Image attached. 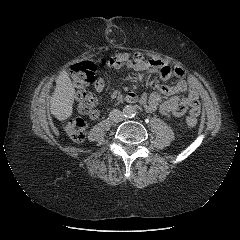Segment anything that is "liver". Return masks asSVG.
I'll use <instances>...</instances> for the list:
<instances>
[{
    "instance_id": "obj_1",
    "label": "liver",
    "mask_w": 240,
    "mask_h": 240,
    "mask_svg": "<svg viewBox=\"0 0 240 240\" xmlns=\"http://www.w3.org/2000/svg\"><path fill=\"white\" fill-rule=\"evenodd\" d=\"M75 89L66 71L56 79V87L50 99L51 113L60 121L69 118L73 112Z\"/></svg>"
}]
</instances>
